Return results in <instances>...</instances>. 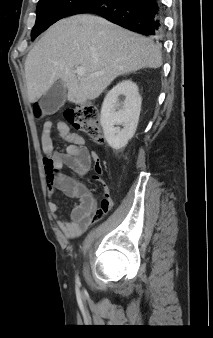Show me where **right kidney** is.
<instances>
[{"mask_svg": "<svg viewBox=\"0 0 213 338\" xmlns=\"http://www.w3.org/2000/svg\"><path fill=\"white\" fill-rule=\"evenodd\" d=\"M120 96L125 99L121 101ZM141 102L138 86L130 80L117 84L106 95L101 108L100 123L105 139L113 149L125 147L134 136Z\"/></svg>", "mask_w": 213, "mask_h": 338, "instance_id": "ca27d5eb", "label": "right kidney"}]
</instances>
